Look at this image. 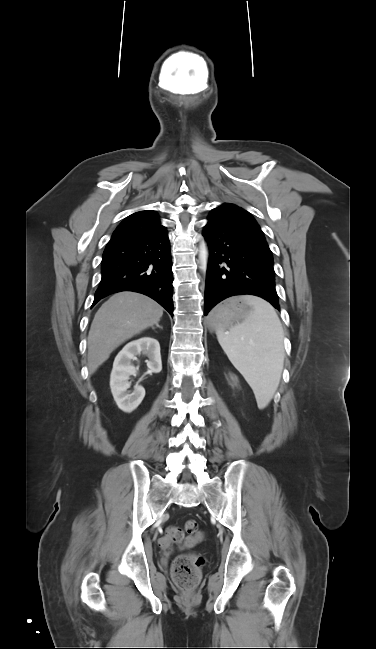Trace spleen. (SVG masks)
<instances>
[{"mask_svg": "<svg viewBox=\"0 0 376 649\" xmlns=\"http://www.w3.org/2000/svg\"><path fill=\"white\" fill-rule=\"evenodd\" d=\"M242 300L253 311L241 322L216 331L218 342L235 368L251 386L259 409L276 392L284 365L283 329L270 303L245 295Z\"/></svg>", "mask_w": 376, "mask_h": 649, "instance_id": "1", "label": "spleen"}]
</instances>
